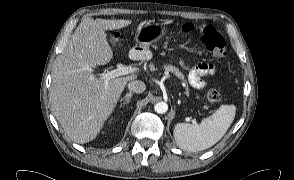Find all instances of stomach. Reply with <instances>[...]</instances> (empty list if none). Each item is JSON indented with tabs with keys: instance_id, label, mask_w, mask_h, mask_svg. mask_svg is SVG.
Here are the masks:
<instances>
[{
	"instance_id": "0dacf381",
	"label": "stomach",
	"mask_w": 294,
	"mask_h": 180,
	"mask_svg": "<svg viewBox=\"0 0 294 180\" xmlns=\"http://www.w3.org/2000/svg\"><path fill=\"white\" fill-rule=\"evenodd\" d=\"M167 33V27L163 23L148 22L140 24L135 33V48H139L137 53L141 56L153 43L162 39Z\"/></svg>"
}]
</instances>
